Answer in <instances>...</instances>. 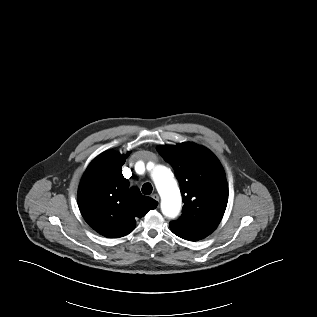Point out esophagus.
<instances>
[{
	"label": "esophagus",
	"instance_id": "obj_1",
	"mask_svg": "<svg viewBox=\"0 0 317 317\" xmlns=\"http://www.w3.org/2000/svg\"><path fill=\"white\" fill-rule=\"evenodd\" d=\"M152 198H153L155 201H157V202H159V200H160L159 195L156 194V193L152 195Z\"/></svg>",
	"mask_w": 317,
	"mask_h": 317
}]
</instances>
